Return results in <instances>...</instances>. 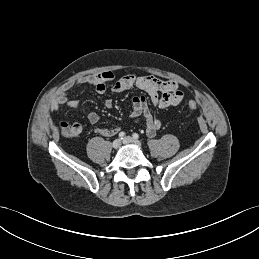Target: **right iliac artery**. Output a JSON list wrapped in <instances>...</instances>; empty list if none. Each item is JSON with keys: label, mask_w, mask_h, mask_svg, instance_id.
<instances>
[{"label": "right iliac artery", "mask_w": 259, "mask_h": 259, "mask_svg": "<svg viewBox=\"0 0 259 259\" xmlns=\"http://www.w3.org/2000/svg\"><path fill=\"white\" fill-rule=\"evenodd\" d=\"M124 136H125V133H124V132H120V133H119V138H120V139H123Z\"/></svg>", "instance_id": "1"}]
</instances>
